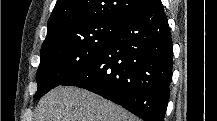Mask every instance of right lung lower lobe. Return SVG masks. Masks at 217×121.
<instances>
[{
  "label": "right lung lower lobe",
  "mask_w": 217,
  "mask_h": 121,
  "mask_svg": "<svg viewBox=\"0 0 217 121\" xmlns=\"http://www.w3.org/2000/svg\"><path fill=\"white\" fill-rule=\"evenodd\" d=\"M172 56L163 5L152 0L121 24L95 61L60 85L92 91L144 121H163Z\"/></svg>",
  "instance_id": "1"
}]
</instances>
